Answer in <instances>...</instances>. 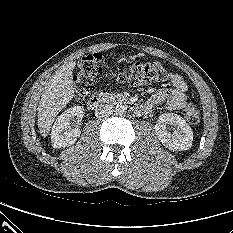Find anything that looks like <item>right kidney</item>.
Instances as JSON below:
<instances>
[{"instance_id":"right-kidney-1","label":"right kidney","mask_w":233,"mask_h":233,"mask_svg":"<svg viewBox=\"0 0 233 233\" xmlns=\"http://www.w3.org/2000/svg\"><path fill=\"white\" fill-rule=\"evenodd\" d=\"M84 116V108L75 106L65 110L56 119L51 132V142L54 148H64L71 146L80 136L81 131L78 126L72 125L75 119L81 121Z\"/></svg>"}]
</instances>
